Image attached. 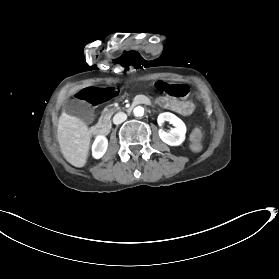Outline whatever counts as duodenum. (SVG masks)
Returning a JSON list of instances; mask_svg holds the SVG:
<instances>
[{
	"label": "duodenum",
	"mask_w": 279,
	"mask_h": 279,
	"mask_svg": "<svg viewBox=\"0 0 279 279\" xmlns=\"http://www.w3.org/2000/svg\"><path fill=\"white\" fill-rule=\"evenodd\" d=\"M138 103H143V104H152V101L150 99H146L144 98V96L141 97H136L133 99V103H131L130 107H128L126 109V112L128 114H131L133 112V106L134 104H138ZM107 126H110V121H107ZM110 130V127L104 128V131L100 128H93L92 129V134L94 136H99V137H103V135H107L108 131Z\"/></svg>",
	"instance_id": "duodenum-1"
}]
</instances>
